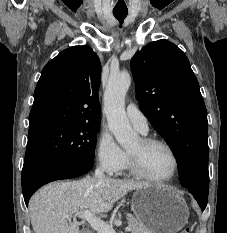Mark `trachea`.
<instances>
[{"label": "trachea", "instance_id": "3493384b", "mask_svg": "<svg viewBox=\"0 0 227 233\" xmlns=\"http://www.w3.org/2000/svg\"><path fill=\"white\" fill-rule=\"evenodd\" d=\"M115 18L120 22V26L123 23V20L126 18L128 11H113Z\"/></svg>", "mask_w": 227, "mask_h": 233}]
</instances>
